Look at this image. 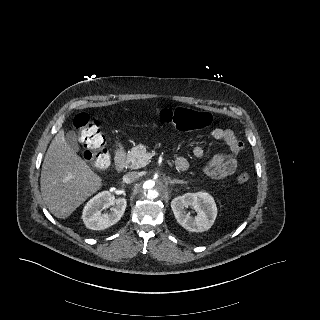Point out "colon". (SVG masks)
I'll list each match as a JSON object with an SVG mask.
<instances>
[{"label": "colon", "instance_id": "obj_1", "mask_svg": "<svg viewBox=\"0 0 320 320\" xmlns=\"http://www.w3.org/2000/svg\"><path fill=\"white\" fill-rule=\"evenodd\" d=\"M160 119L166 124L173 125L180 131H198L209 127L212 116L206 111H197L185 107L164 109L160 112ZM74 129L79 133L84 145L85 158L97 170H106L111 164L106 149V138L99 122L88 114H78L73 120ZM250 180L247 172L240 173L237 181L245 184Z\"/></svg>", "mask_w": 320, "mask_h": 320}]
</instances>
